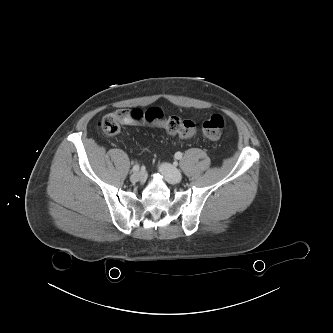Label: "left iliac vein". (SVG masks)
<instances>
[{
  "label": "left iliac vein",
  "mask_w": 333,
  "mask_h": 333,
  "mask_svg": "<svg viewBox=\"0 0 333 333\" xmlns=\"http://www.w3.org/2000/svg\"><path fill=\"white\" fill-rule=\"evenodd\" d=\"M159 171L169 183L176 184L182 180L181 172L168 163L161 164Z\"/></svg>",
  "instance_id": "4c4485c4"
}]
</instances>
